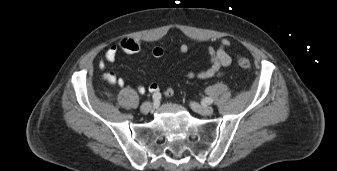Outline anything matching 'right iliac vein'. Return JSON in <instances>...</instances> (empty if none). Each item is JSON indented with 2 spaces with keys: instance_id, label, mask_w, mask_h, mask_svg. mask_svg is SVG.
<instances>
[{
  "instance_id": "1",
  "label": "right iliac vein",
  "mask_w": 337,
  "mask_h": 171,
  "mask_svg": "<svg viewBox=\"0 0 337 171\" xmlns=\"http://www.w3.org/2000/svg\"><path fill=\"white\" fill-rule=\"evenodd\" d=\"M153 104L151 102H144L141 107H140V111L143 114H146L148 112H150L153 109Z\"/></svg>"
}]
</instances>
